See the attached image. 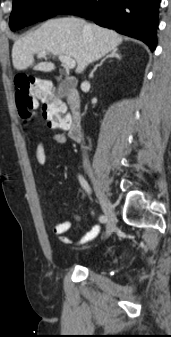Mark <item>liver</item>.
I'll return each instance as SVG.
<instances>
[{
    "label": "liver",
    "instance_id": "obj_1",
    "mask_svg": "<svg viewBox=\"0 0 171 337\" xmlns=\"http://www.w3.org/2000/svg\"><path fill=\"white\" fill-rule=\"evenodd\" d=\"M122 41L118 33L76 17L51 19L15 41L13 66L18 71L25 70L33 66L35 54L46 52L73 58L77 63L76 73L80 74L88 64L117 49ZM33 69L51 72L55 66L44 61L34 65Z\"/></svg>",
    "mask_w": 171,
    "mask_h": 337
}]
</instances>
